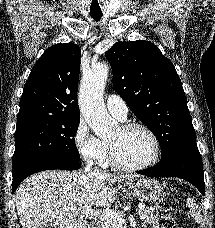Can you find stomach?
<instances>
[{"mask_svg":"<svg viewBox=\"0 0 215 228\" xmlns=\"http://www.w3.org/2000/svg\"><path fill=\"white\" fill-rule=\"evenodd\" d=\"M129 186L132 194L143 202H156L164 194L163 186L158 180H123Z\"/></svg>","mask_w":215,"mask_h":228,"instance_id":"obj_1","label":"stomach"}]
</instances>
